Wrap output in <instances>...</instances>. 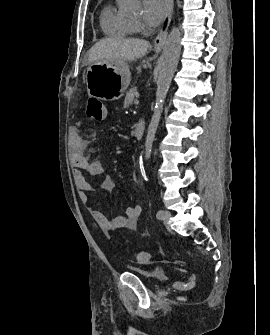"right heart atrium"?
Wrapping results in <instances>:
<instances>
[{
    "mask_svg": "<svg viewBox=\"0 0 270 335\" xmlns=\"http://www.w3.org/2000/svg\"><path fill=\"white\" fill-rule=\"evenodd\" d=\"M142 32V27L140 24H134V33L136 34H141Z\"/></svg>",
    "mask_w": 270,
    "mask_h": 335,
    "instance_id": "d8ad5b80",
    "label": "right heart atrium"
}]
</instances>
